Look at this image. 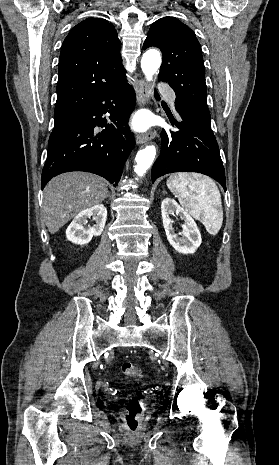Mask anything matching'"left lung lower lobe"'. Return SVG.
Here are the masks:
<instances>
[{
  "instance_id": "0a47b994",
  "label": "left lung lower lobe",
  "mask_w": 279,
  "mask_h": 465,
  "mask_svg": "<svg viewBox=\"0 0 279 465\" xmlns=\"http://www.w3.org/2000/svg\"><path fill=\"white\" fill-rule=\"evenodd\" d=\"M179 131L161 134V152L152 167V182L173 172H198L218 181L226 190L225 171L216 138L207 124L196 116L177 111Z\"/></svg>"
}]
</instances>
